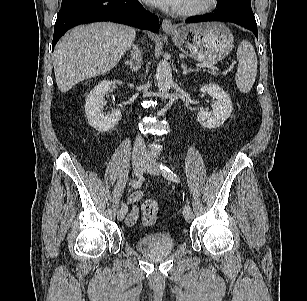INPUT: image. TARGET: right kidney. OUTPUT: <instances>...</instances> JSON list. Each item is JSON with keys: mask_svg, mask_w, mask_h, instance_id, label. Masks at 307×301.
Listing matches in <instances>:
<instances>
[{"mask_svg": "<svg viewBox=\"0 0 307 301\" xmlns=\"http://www.w3.org/2000/svg\"><path fill=\"white\" fill-rule=\"evenodd\" d=\"M113 83L122 85V81L119 80H103L86 97L85 113L88 123L98 132L103 133L113 129L122 117L119 110H113L108 115H105L102 111L103 97L110 90Z\"/></svg>", "mask_w": 307, "mask_h": 301, "instance_id": "obj_1", "label": "right kidney"}]
</instances>
